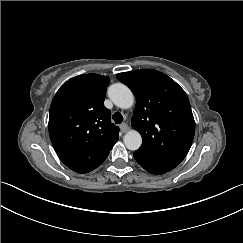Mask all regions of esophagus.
<instances>
[{
  "mask_svg": "<svg viewBox=\"0 0 243 243\" xmlns=\"http://www.w3.org/2000/svg\"><path fill=\"white\" fill-rule=\"evenodd\" d=\"M120 129H121L122 133H125L129 130V126H128V124L123 123V124L120 125Z\"/></svg>",
  "mask_w": 243,
  "mask_h": 243,
  "instance_id": "esophagus-1",
  "label": "esophagus"
}]
</instances>
